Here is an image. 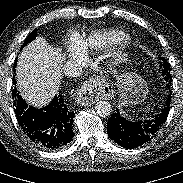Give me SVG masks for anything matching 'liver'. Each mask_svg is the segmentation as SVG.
Here are the masks:
<instances>
[{
    "label": "liver",
    "mask_w": 183,
    "mask_h": 183,
    "mask_svg": "<svg viewBox=\"0 0 183 183\" xmlns=\"http://www.w3.org/2000/svg\"><path fill=\"white\" fill-rule=\"evenodd\" d=\"M62 61L60 50L50 46L42 37L23 49L16 67L17 86L30 105L44 106L54 96L62 78Z\"/></svg>",
    "instance_id": "obj_1"
}]
</instances>
